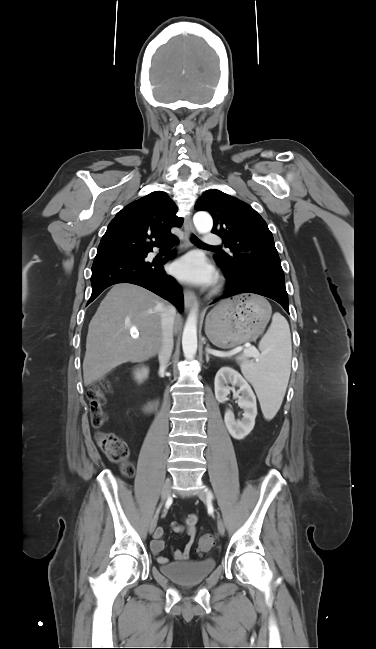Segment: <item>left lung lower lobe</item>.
<instances>
[{
  "mask_svg": "<svg viewBox=\"0 0 376 649\" xmlns=\"http://www.w3.org/2000/svg\"><path fill=\"white\" fill-rule=\"evenodd\" d=\"M219 266L227 278V289L219 299L242 293H254L275 300L289 314L284 278L261 268L248 267L243 269L241 275H237L231 269Z\"/></svg>",
  "mask_w": 376,
  "mask_h": 649,
  "instance_id": "obj_1",
  "label": "left lung lower lobe"
}]
</instances>
